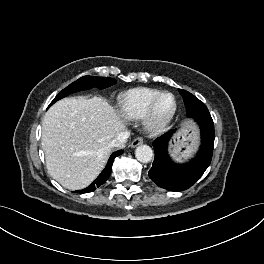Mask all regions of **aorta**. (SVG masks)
Wrapping results in <instances>:
<instances>
[{
  "mask_svg": "<svg viewBox=\"0 0 264 264\" xmlns=\"http://www.w3.org/2000/svg\"><path fill=\"white\" fill-rule=\"evenodd\" d=\"M135 156L138 161L148 163L153 158V150L148 145H140L135 150Z\"/></svg>",
  "mask_w": 264,
  "mask_h": 264,
  "instance_id": "1",
  "label": "aorta"
}]
</instances>
